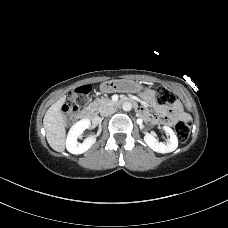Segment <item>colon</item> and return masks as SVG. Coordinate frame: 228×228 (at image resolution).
Instances as JSON below:
<instances>
[{
  "instance_id": "5ec220e1",
  "label": "colon",
  "mask_w": 228,
  "mask_h": 228,
  "mask_svg": "<svg viewBox=\"0 0 228 228\" xmlns=\"http://www.w3.org/2000/svg\"><path fill=\"white\" fill-rule=\"evenodd\" d=\"M90 91V85H82L75 88L72 92L70 100L63 106L64 114L69 118L74 117L79 109L77 99L81 96L88 95ZM156 99L159 104L167 105L173 103L176 96L170 89L160 85L156 89ZM190 128L191 125L189 121H180L176 124L175 129L177 137L181 142H186L188 140L190 136Z\"/></svg>"
}]
</instances>
